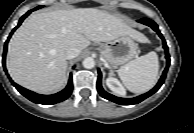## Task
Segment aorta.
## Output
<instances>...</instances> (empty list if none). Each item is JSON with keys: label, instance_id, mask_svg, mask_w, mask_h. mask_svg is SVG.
Here are the masks:
<instances>
[{"label": "aorta", "instance_id": "762f6f07", "mask_svg": "<svg viewBox=\"0 0 194 133\" xmlns=\"http://www.w3.org/2000/svg\"><path fill=\"white\" fill-rule=\"evenodd\" d=\"M83 66L86 69H92L95 66V60L91 57H87L83 60Z\"/></svg>", "mask_w": 194, "mask_h": 133}]
</instances>
